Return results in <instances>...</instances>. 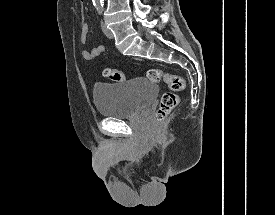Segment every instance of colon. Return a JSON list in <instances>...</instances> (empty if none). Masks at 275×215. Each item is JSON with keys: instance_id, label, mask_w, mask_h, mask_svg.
<instances>
[{"instance_id": "obj_1", "label": "colon", "mask_w": 275, "mask_h": 215, "mask_svg": "<svg viewBox=\"0 0 275 215\" xmlns=\"http://www.w3.org/2000/svg\"><path fill=\"white\" fill-rule=\"evenodd\" d=\"M105 76L113 82H122L125 80V72L119 68L106 69ZM147 78L154 83L164 82L168 88V91L162 95L155 114V120L161 122L177 105L179 101L178 93L183 92L186 87L185 80L177 74L168 73L159 68L149 69L147 71Z\"/></svg>"}]
</instances>
